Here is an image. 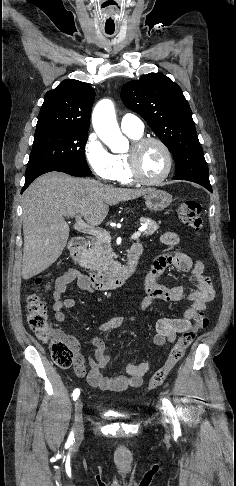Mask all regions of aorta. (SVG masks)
<instances>
[{
	"mask_svg": "<svg viewBox=\"0 0 236 486\" xmlns=\"http://www.w3.org/2000/svg\"><path fill=\"white\" fill-rule=\"evenodd\" d=\"M92 123L96 134L112 152H122L128 147V141L118 126L112 101L105 99L96 105Z\"/></svg>",
	"mask_w": 236,
	"mask_h": 486,
	"instance_id": "1",
	"label": "aorta"
}]
</instances>
